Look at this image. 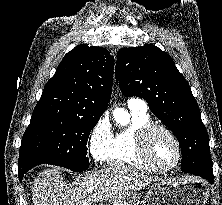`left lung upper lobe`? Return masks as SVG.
I'll use <instances>...</instances> for the list:
<instances>
[{"mask_svg": "<svg viewBox=\"0 0 222 205\" xmlns=\"http://www.w3.org/2000/svg\"><path fill=\"white\" fill-rule=\"evenodd\" d=\"M115 72L123 95L144 98L154 115L175 134L182 154L194 152L209 163L201 177L213 175L207 130L191 89L173 59L150 44L122 48Z\"/></svg>", "mask_w": 222, "mask_h": 205, "instance_id": "obj_1", "label": "left lung upper lobe"}]
</instances>
